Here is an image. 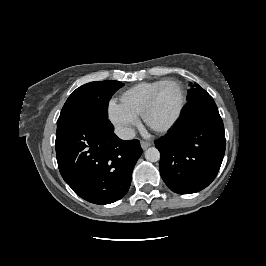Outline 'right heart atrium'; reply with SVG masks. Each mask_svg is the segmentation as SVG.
<instances>
[{"instance_id":"right-heart-atrium-1","label":"right heart atrium","mask_w":266,"mask_h":266,"mask_svg":"<svg viewBox=\"0 0 266 266\" xmlns=\"http://www.w3.org/2000/svg\"><path fill=\"white\" fill-rule=\"evenodd\" d=\"M107 116L117 131L124 136H129L138 124V116L129 110L122 102L110 99L107 104Z\"/></svg>"}]
</instances>
